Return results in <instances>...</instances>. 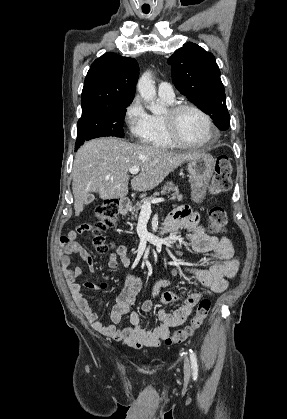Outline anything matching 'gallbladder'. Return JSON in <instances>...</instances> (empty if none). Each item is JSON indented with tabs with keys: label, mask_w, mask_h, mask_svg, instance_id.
Wrapping results in <instances>:
<instances>
[{
	"label": "gallbladder",
	"mask_w": 287,
	"mask_h": 419,
	"mask_svg": "<svg viewBox=\"0 0 287 419\" xmlns=\"http://www.w3.org/2000/svg\"><path fill=\"white\" fill-rule=\"evenodd\" d=\"M95 199V197H94V195L93 194H89L88 195V197H87V199L85 200V205H89L90 203H92L93 202V200Z\"/></svg>",
	"instance_id": "1"
}]
</instances>
